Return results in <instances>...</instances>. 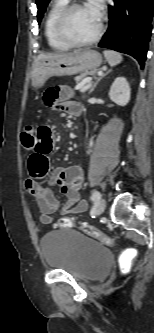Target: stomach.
Returning a JSON list of instances; mask_svg holds the SVG:
<instances>
[{
	"label": "stomach",
	"mask_w": 154,
	"mask_h": 333,
	"mask_svg": "<svg viewBox=\"0 0 154 333\" xmlns=\"http://www.w3.org/2000/svg\"><path fill=\"white\" fill-rule=\"evenodd\" d=\"M102 56L94 50L71 53L60 58L38 61L31 71V84L38 88L53 76H70L83 71L96 70Z\"/></svg>",
	"instance_id": "1"
}]
</instances>
